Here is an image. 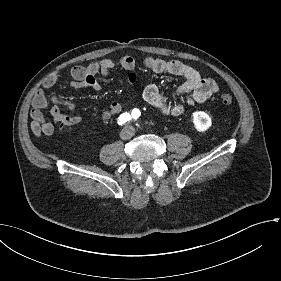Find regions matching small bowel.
Returning a JSON list of instances; mask_svg holds the SVG:
<instances>
[{
    "instance_id": "c3829d8e",
    "label": "small bowel",
    "mask_w": 281,
    "mask_h": 281,
    "mask_svg": "<svg viewBox=\"0 0 281 281\" xmlns=\"http://www.w3.org/2000/svg\"><path fill=\"white\" fill-rule=\"evenodd\" d=\"M144 66L158 74L179 75L185 78V82L177 89L173 99H169L154 84L147 85L142 92L143 99L154 109L164 116L179 117L186 110L196 104L208 100L219 90L218 83L205 77L201 70L189 66L179 60H163L154 57L144 59ZM136 60L131 56H123L118 59H102L92 61L86 66H74L71 69L73 78L71 87L74 89L89 88L99 91L101 84L96 79L98 74L107 75L115 68H121L129 72L128 80L131 84L136 81ZM58 80V74L49 75L40 89L34 96L30 116L32 119L31 129L34 132L33 138L40 140L42 134L51 136L58 130L77 125L82 118L79 115H68L62 112L61 108L75 109V104L67 99L51 96L47 98L45 91L52 88ZM49 110L53 121H47L43 112ZM122 110L119 102L113 101L109 108L103 112L102 119L109 120L118 115Z\"/></svg>"
}]
</instances>
